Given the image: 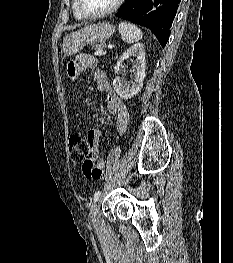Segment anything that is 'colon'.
Returning a JSON list of instances; mask_svg holds the SVG:
<instances>
[{"instance_id": "obj_1", "label": "colon", "mask_w": 233, "mask_h": 263, "mask_svg": "<svg viewBox=\"0 0 233 263\" xmlns=\"http://www.w3.org/2000/svg\"><path fill=\"white\" fill-rule=\"evenodd\" d=\"M69 153L71 160L82 164V169L87 178L101 180L105 176L104 168L94 166L90 162L91 143L90 137H85L81 132L75 133L69 138Z\"/></svg>"}]
</instances>
